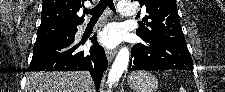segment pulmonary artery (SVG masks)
I'll return each mask as SVG.
<instances>
[{
  "mask_svg": "<svg viewBox=\"0 0 225 92\" xmlns=\"http://www.w3.org/2000/svg\"><path fill=\"white\" fill-rule=\"evenodd\" d=\"M128 6H130V3H126V2H120L119 4V8L121 9V13L123 16L131 18L135 15V12L132 10H128Z\"/></svg>",
  "mask_w": 225,
  "mask_h": 92,
  "instance_id": "pulmonary-artery-1",
  "label": "pulmonary artery"
}]
</instances>
